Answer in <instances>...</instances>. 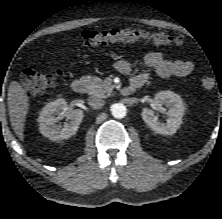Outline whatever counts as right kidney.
Wrapping results in <instances>:
<instances>
[{"label": "right kidney", "instance_id": "1", "mask_svg": "<svg viewBox=\"0 0 222 219\" xmlns=\"http://www.w3.org/2000/svg\"><path fill=\"white\" fill-rule=\"evenodd\" d=\"M67 102L59 98L45 105L38 117L40 133L52 141L68 139L75 135L83 119V111L80 109L67 112ZM66 113L70 121L65 125H57L60 115Z\"/></svg>", "mask_w": 222, "mask_h": 219}]
</instances>
